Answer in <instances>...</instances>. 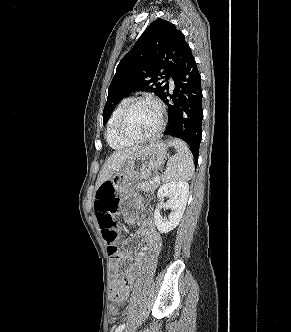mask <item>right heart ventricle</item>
Returning a JSON list of instances; mask_svg holds the SVG:
<instances>
[{"mask_svg": "<svg viewBox=\"0 0 291 332\" xmlns=\"http://www.w3.org/2000/svg\"><path fill=\"white\" fill-rule=\"evenodd\" d=\"M129 102L128 99H123L114 109L108 124H107V130H106V139L110 147L113 149H124L126 147H129L132 145V143H129L125 140H123L117 131V123L119 116L123 110V108L126 106V104Z\"/></svg>", "mask_w": 291, "mask_h": 332, "instance_id": "right-heart-ventricle-1", "label": "right heart ventricle"}]
</instances>
